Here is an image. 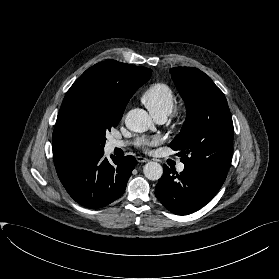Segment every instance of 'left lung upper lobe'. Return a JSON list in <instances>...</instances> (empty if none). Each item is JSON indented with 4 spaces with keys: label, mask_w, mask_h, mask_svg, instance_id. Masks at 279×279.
<instances>
[{
    "label": "left lung upper lobe",
    "mask_w": 279,
    "mask_h": 279,
    "mask_svg": "<svg viewBox=\"0 0 279 279\" xmlns=\"http://www.w3.org/2000/svg\"><path fill=\"white\" fill-rule=\"evenodd\" d=\"M182 96L187 117L170 143L185 168L211 175L224 183L232 157L233 122L223 92L204 72L188 67L170 69Z\"/></svg>",
    "instance_id": "obj_1"
}]
</instances>
